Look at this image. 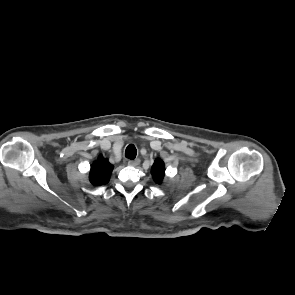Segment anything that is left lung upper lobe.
Wrapping results in <instances>:
<instances>
[{"mask_svg":"<svg viewBox=\"0 0 295 295\" xmlns=\"http://www.w3.org/2000/svg\"><path fill=\"white\" fill-rule=\"evenodd\" d=\"M151 174L153 177V180L157 183L160 184L163 181L164 175H165V166L164 162L161 159H156L152 169H151Z\"/></svg>","mask_w":295,"mask_h":295,"instance_id":"left-lung-upper-lobe-1","label":"left lung upper lobe"}]
</instances>
